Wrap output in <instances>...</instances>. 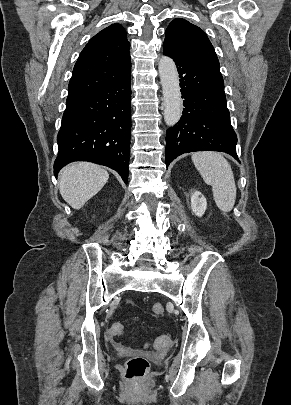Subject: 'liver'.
Wrapping results in <instances>:
<instances>
[{
	"label": "liver",
	"instance_id": "6515ba94",
	"mask_svg": "<svg viewBox=\"0 0 291 405\" xmlns=\"http://www.w3.org/2000/svg\"><path fill=\"white\" fill-rule=\"evenodd\" d=\"M108 178V172L96 164L72 163L59 174L60 194L72 208L80 209L104 187Z\"/></svg>",
	"mask_w": 291,
	"mask_h": 405
}]
</instances>
